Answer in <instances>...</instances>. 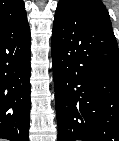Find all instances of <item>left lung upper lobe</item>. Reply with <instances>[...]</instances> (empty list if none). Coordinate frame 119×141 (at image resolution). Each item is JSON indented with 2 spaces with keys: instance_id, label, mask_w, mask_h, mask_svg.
Segmentation results:
<instances>
[{
  "instance_id": "5c2ea615",
  "label": "left lung upper lobe",
  "mask_w": 119,
  "mask_h": 141,
  "mask_svg": "<svg viewBox=\"0 0 119 141\" xmlns=\"http://www.w3.org/2000/svg\"><path fill=\"white\" fill-rule=\"evenodd\" d=\"M56 11H74L81 15L110 20L101 0H60Z\"/></svg>"
}]
</instances>
